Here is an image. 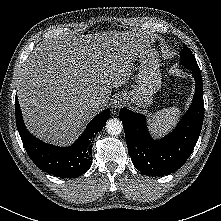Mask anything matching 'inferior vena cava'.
I'll use <instances>...</instances> for the list:
<instances>
[{"instance_id":"602c4592","label":"inferior vena cava","mask_w":221,"mask_h":221,"mask_svg":"<svg viewBox=\"0 0 221 221\" xmlns=\"http://www.w3.org/2000/svg\"><path fill=\"white\" fill-rule=\"evenodd\" d=\"M101 105V101L99 99H94L90 102V106L92 108H98Z\"/></svg>"}]
</instances>
